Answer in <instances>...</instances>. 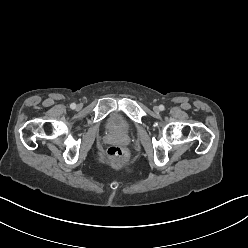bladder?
<instances>
[{"mask_svg":"<svg viewBox=\"0 0 248 248\" xmlns=\"http://www.w3.org/2000/svg\"><path fill=\"white\" fill-rule=\"evenodd\" d=\"M106 128L110 132L124 133L129 131L131 125L122 113L115 111L108 116Z\"/></svg>","mask_w":248,"mask_h":248,"instance_id":"1","label":"bladder"}]
</instances>
